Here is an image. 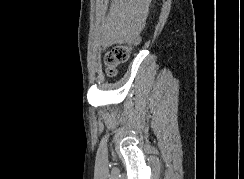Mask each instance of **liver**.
Listing matches in <instances>:
<instances>
[{"label": "liver", "instance_id": "6515ba94", "mask_svg": "<svg viewBox=\"0 0 244 179\" xmlns=\"http://www.w3.org/2000/svg\"><path fill=\"white\" fill-rule=\"evenodd\" d=\"M152 0H112L109 14L102 22L101 36L106 46L136 44L145 28Z\"/></svg>", "mask_w": 244, "mask_h": 179}]
</instances>
